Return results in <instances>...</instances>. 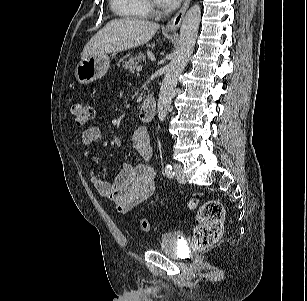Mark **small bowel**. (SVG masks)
I'll list each match as a JSON object with an SVG mask.
<instances>
[{
	"label": "small bowel",
	"mask_w": 307,
	"mask_h": 301,
	"mask_svg": "<svg viewBox=\"0 0 307 301\" xmlns=\"http://www.w3.org/2000/svg\"><path fill=\"white\" fill-rule=\"evenodd\" d=\"M103 136L98 127H90L82 134L81 142L85 155H91V146ZM132 144L139 156L148 161L153 156L150 134L145 126H139L133 133ZM90 180L97 192L110 200L120 214L130 212L141 202L150 198L156 190L155 169L146 164L125 165L113 183L101 179L94 170L89 172Z\"/></svg>",
	"instance_id": "1"
}]
</instances>
